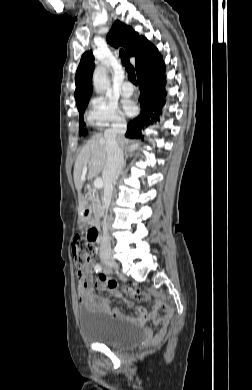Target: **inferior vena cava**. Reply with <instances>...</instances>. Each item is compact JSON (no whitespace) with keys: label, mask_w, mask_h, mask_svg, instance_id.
Instances as JSON below:
<instances>
[{"label":"inferior vena cava","mask_w":252,"mask_h":390,"mask_svg":"<svg viewBox=\"0 0 252 390\" xmlns=\"http://www.w3.org/2000/svg\"><path fill=\"white\" fill-rule=\"evenodd\" d=\"M127 126L125 123H116L112 128L105 131L104 137L106 139L107 161L103 169L104 180V204L108 210L114 185L122 171L124 165L123 151L118 145L117 137H123ZM100 252H111V243L108 233L107 225L103 226V236L100 243Z\"/></svg>","instance_id":"inferior-vena-cava-1"}]
</instances>
